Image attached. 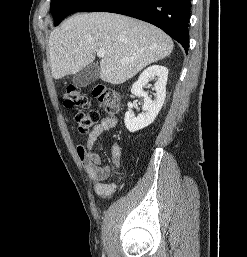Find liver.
I'll use <instances>...</instances> for the list:
<instances>
[{
	"instance_id": "1",
	"label": "liver",
	"mask_w": 247,
	"mask_h": 257,
	"mask_svg": "<svg viewBox=\"0 0 247 257\" xmlns=\"http://www.w3.org/2000/svg\"><path fill=\"white\" fill-rule=\"evenodd\" d=\"M100 49L105 51L100 60V78L115 85L170 55L173 41L154 25L124 15L76 14L50 34L53 78L76 74L95 60Z\"/></svg>"
}]
</instances>
